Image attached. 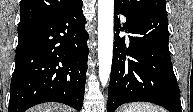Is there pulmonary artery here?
<instances>
[{
  "label": "pulmonary artery",
  "instance_id": "pulmonary-artery-1",
  "mask_svg": "<svg viewBox=\"0 0 193 112\" xmlns=\"http://www.w3.org/2000/svg\"><path fill=\"white\" fill-rule=\"evenodd\" d=\"M122 21H125V17L122 16Z\"/></svg>",
  "mask_w": 193,
  "mask_h": 112
}]
</instances>
